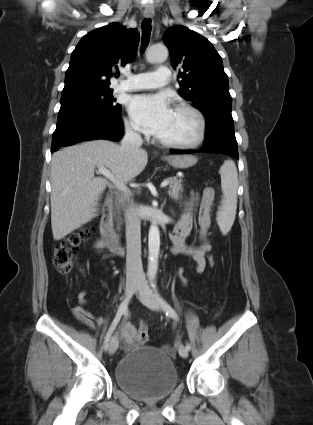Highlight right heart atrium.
Returning <instances> with one entry per match:
<instances>
[{
  "mask_svg": "<svg viewBox=\"0 0 313 425\" xmlns=\"http://www.w3.org/2000/svg\"><path fill=\"white\" fill-rule=\"evenodd\" d=\"M125 128H126V132L129 135L134 136V137H137L138 136L137 130H136V128L134 127V125L131 122L126 121Z\"/></svg>",
  "mask_w": 313,
  "mask_h": 425,
  "instance_id": "right-heart-atrium-1",
  "label": "right heart atrium"
}]
</instances>
